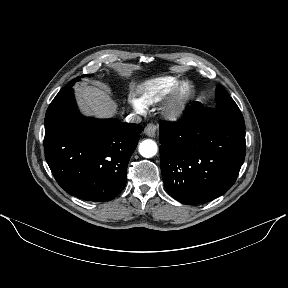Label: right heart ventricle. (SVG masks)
Returning a JSON list of instances; mask_svg holds the SVG:
<instances>
[{
    "instance_id": "right-heart-ventricle-1",
    "label": "right heart ventricle",
    "mask_w": 288,
    "mask_h": 288,
    "mask_svg": "<svg viewBox=\"0 0 288 288\" xmlns=\"http://www.w3.org/2000/svg\"><path fill=\"white\" fill-rule=\"evenodd\" d=\"M174 77H160L145 81L138 88V99L144 106H151L166 99L176 87Z\"/></svg>"
}]
</instances>
